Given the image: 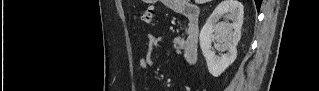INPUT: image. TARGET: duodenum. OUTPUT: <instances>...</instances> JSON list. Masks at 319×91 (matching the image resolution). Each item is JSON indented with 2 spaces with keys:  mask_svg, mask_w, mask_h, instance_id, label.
Returning <instances> with one entry per match:
<instances>
[{
  "mask_svg": "<svg viewBox=\"0 0 319 91\" xmlns=\"http://www.w3.org/2000/svg\"><path fill=\"white\" fill-rule=\"evenodd\" d=\"M182 13L188 19V31L183 46V58L187 64L192 65L198 58L200 13L198 7L191 4H187Z\"/></svg>",
  "mask_w": 319,
  "mask_h": 91,
  "instance_id": "obj_1",
  "label": "duodenum"
}]
</instances>
